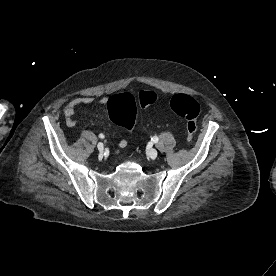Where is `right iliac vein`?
<instances>
[{"instance_id":"obj_1","label":"right iliac vein","mask_w":276,"mask_h":276,"mask_svg":"<svg viewBox=\"0 0 276 276\" xmlns=\"http://www.w3.org/2000/svg\"><path fill=\"white\" fill-rule=\"evenodd\" d=\"M97 148H98V150H99L100 152H102V151L104 150V145H103V143L99 142V143L97 144Z\"/></svg>"}]
</instances>
